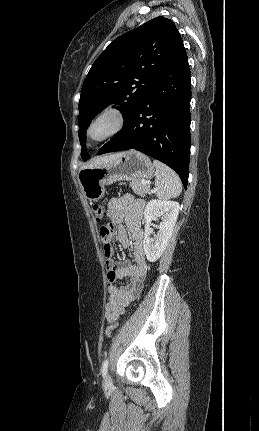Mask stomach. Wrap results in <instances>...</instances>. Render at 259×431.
<instances>
[{
    "mask_svg": "<svg viewBox=\"0 0 259 431\" xmlns=\"http://www.w3.org/2000/svg\"><path fill=\"white\" fill-rule=\"evenodd\" d=\"M154 165L150 158L138 151H126L112 161L92 168L81 169L78 180L82 191L90 201H98L105 194V186L117 181L151 178Z\"/></svg>",
    "mask_w": 259,
    "mask_h": 431,
    "instance_id": "1",
    "label": "stomach"
}]
</instances>
